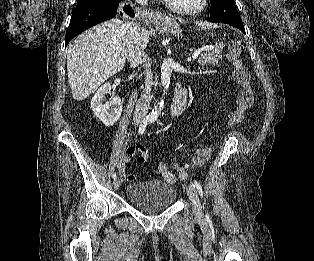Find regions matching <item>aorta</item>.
Returning <instances> with one entry per match:
<instances>
[{
	"label": "aorta",
	"instance_id": "obj_1",
	"mask_svg": "<svg viewBox=\"0 0 314 261\" xmlns=\"http://www.w3.org/2000/svg\"><path fill=\"white\" fill-rule=\"evenodd\" d=\"M171 80V66L169 61H163L161 65V82L164 87V93L165 90L167 91ZM164 105V100L162 99L158 106L155 107V109L152 110L151 116L157 118L162 110V107Z\"/></svg>",
	"mask_w": 314,
	"mask_h": 261
}]
</instances>
